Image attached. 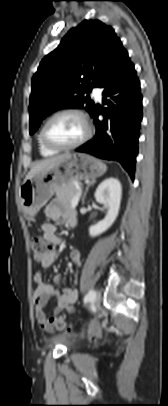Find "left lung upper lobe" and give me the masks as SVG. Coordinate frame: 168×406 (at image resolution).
I'll use <instances>...</instances> for the list:
<instances>
[{"label": "left lung upper lobe", "mask_w": 168, "mask_h": 406, "mask_svg": "<svg viewBox=\"0 0 168 406\" xmlns=\"http://www.w3.org/2000/svg\"><path fill=\"white\" fill-rule=\"evenodd\" d=\"M122 50L113 28L99 20H84L72 28L33 76L30 134L58 109L84 108L92 115L96 105L85 94L99 86Z\"/></svg>", "instance_id": "obj_1"}]
</instances>
